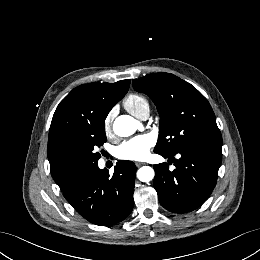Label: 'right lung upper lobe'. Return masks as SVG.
<instances>
[{"label":"right lung upper lobe","mask_w":260,"mask_h":260,"mask_svg":"<svg viewBox=\"0 0 260 260\" xmlns=\"http://www.w3.org/2000/svg\"><path fill=\"white\" fill-rule=\"evenodd\" d=\"M129 86L130 80L83 84L74 88L58 105L49 129L47 155L52 177L61 190L80 173L74 159V147L81 131L105 121Z\"/></svg>","instance_id":"obj_1"}]
</instances>
